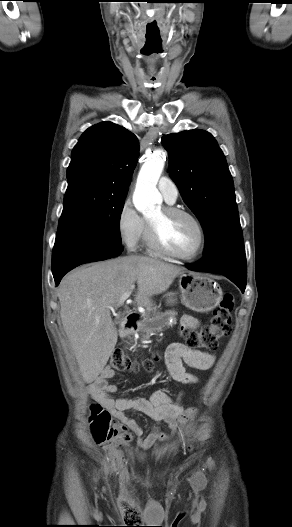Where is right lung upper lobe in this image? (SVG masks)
<instances>
[{"label":"right lung upper lobe","mask_w":292,"mask_h":527,"mask_svg":"<svg viewBox=\"0 0 292 527\" xmlns=\"http://www.w3.org/2000/svg\"><path fill=\"white\" fill-rule=\"evenodd\" d=\"M138 151L136 136L124 127L111 122L94 125L82 134L72 151L68 186L127 193Z\"/></svg>","instance_id":"obj_1"}]
</instances>
